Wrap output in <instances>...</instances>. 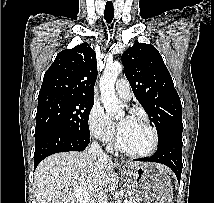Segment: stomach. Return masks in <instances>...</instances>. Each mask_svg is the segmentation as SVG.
Returning a JSON list of instances; mask_svg holds the SVG:
<instances>
[{
    "label": "stomach",
    "instance_id": "obj_1",
    "mask_svg": "<svg viewBox=\"0 0 214 203\" xmlns=\"http://www.w3.org/2000/svg\"><path fill=\"white\" fill-rule=\"evenodd\" d=\"M124 173L138 203H171L172 186L162 166L144 163Z\"/></svg>",
    "mask_w": 214,
    "mask_h": 203
}]
</instances>
